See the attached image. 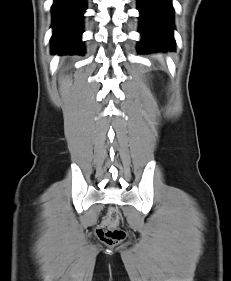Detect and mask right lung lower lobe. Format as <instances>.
<instances>
[{
  "label": "right lung lower lobe",
  "instance_id": "1",
  "mask_svg": "<svg viewBox=\"0 0 231 281\" xmlns=\"http://www.w3.org/2000/svg\"><path fill=\"white\" fill-rule=\"evenodd\" d=\"M85 0H54L52 5V52L78 54L84 50L81 42Z\"/></svg>",
  "mask_w": 231,
  "mask_h": 281
}]
</instances>
